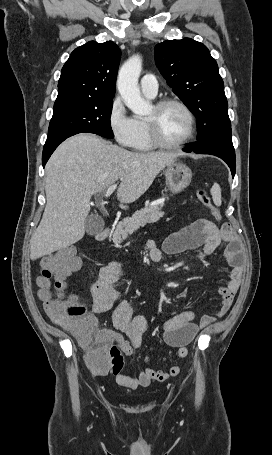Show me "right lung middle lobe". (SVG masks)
<instances>
[{
  "label": "right lung middle lobe",
  "instance_id": "dd1d6c3e",
  "mask_svg": "<svg viewBox=\"0 0 272 455\" xmlns=\"http://www.w3.org/2000/svg\"><path fill=\"white\" fill-rule=\"evenodd\" d=\"M113 98L56 101L48 139L67 133H95L113 138L110 117Z\"/></svg>",
  "mask_w": 272,
  "mask_h": 455
}]
</instances>
